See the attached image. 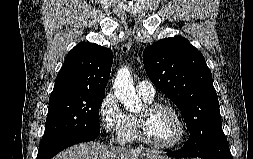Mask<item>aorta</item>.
Wrapping results in <instances>:
<instances>
[{"mask_svg":"<svg viewBox=\"0 0 253 159\" xmlns=\"http://www.w3.org/2000/svg\"><path fill=\"white\" fill-rule=\"evenodd\" d=\"M113 90L115 96L123 104L124 108L130 112L140 111L142 101L136 95L131 72L128 67L121 68L115 77Z\"/></svg>","mask_w":253,"mask_h":159,"instance_id":"762f6f07","label":"aorta"}]
</instances>
